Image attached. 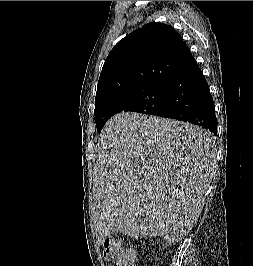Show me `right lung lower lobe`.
Wrapping results in <instances>:
<instances>
[{
    "label": "right lung lower lobe",
    "instance_id": "obj_1",
    "mask_svg": "<svg viewBox=\"0 0 253 266\" xmlns=\"http://www.w3.org/2000/svg\"><path fill=\"white\" fill-rule=\"evenodd\" d=\"M157 116L190 122L217 135L214 101L197 63L172 79L163 111Z\"/></svg>",
    "mask_w": 253,
    "mask_h": 266
}]
</instances>
